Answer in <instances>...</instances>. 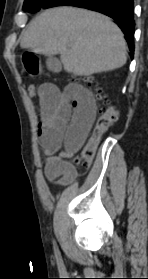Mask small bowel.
I'll list each match as a JSON object with an SVG mask.
<instances>
[{
	"mask_svg": "<svg viewBox=\"0 0 148 279\" xmlns=\"http://www.w3.org/2000/svg\"><path fill=\"white\" fill-rule=\"evenodd\" d=\"M37 96L42 113L38 136L47 156L44 175L48 181L67 186L79 172L66 158L85 142L96 115L95 100L86 87L76 83L63 89L43 84Z\"/></svg>",
	"mask_w": 148,
	"mask_h": 279,
	"instance_id": "small-bowel-1",
	"label": "small bowel"
}]
</instances>
